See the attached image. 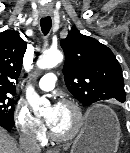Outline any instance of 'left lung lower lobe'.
I'll use <instances>...</instances> for the list:
<instances>
[{
  "label": "left lung lower lobe",
  "instance_id": "1",
  "mask_svg": "<svg viewBox=\"0 0 130 153\" xmlns=\"http://www.w3.org/2000/svg\"><path fill=\"white\" fill-rule=\"evenodd\" d=\"M118 101H119V100H118ZM120 102H122V103H123V102H125V101H124V100H121Z\"/></svg>",
  "mask_w": 130,
  "mask_h": 153
}]
</instances>
